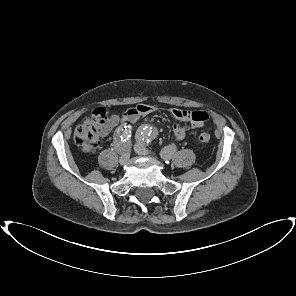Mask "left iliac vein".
Listing matches in <instances>:
<instances>
[{
    "label": "left iliac vein",
    "instance_id": "obj_1",
    "mask_svg": "<svg viewBox=\"0 0 296 296\" xmlns=\"http://www.w3.org/2000/svg\"><path fill=\"white\" fill-rule=\"evenodd\" d=\"M134 150L139 155L149 156V151L146 149L145 145L142 142H138L137 144H135Z\"/></svg>",
    "mask_w": 296,
    "mask_h": 296
}]
</instances>
